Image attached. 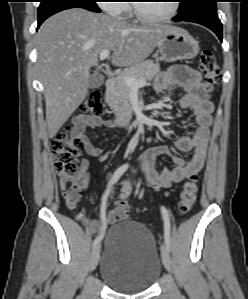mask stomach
I'll list each match as a JSON object with an SVG mask.
<instances>
[{
    "mask_svg": "<svg viewBox=\"0 0 248 299\" xmlns=\"http://www.w3.org/2000/svg\"><path fill=\"white\" fill-rule=\"evenodd\" d=\"M161 57L166 62L192 59L199 52L198 42L185 30L170 27L158 43Z\"/></svg>",
    "mask_w": 248,
    "mask_h": 299,
    "instance_id": "1",
    "label": "stomach"
}]
</instances>
